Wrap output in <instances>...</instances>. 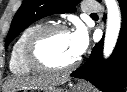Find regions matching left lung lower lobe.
<instances>
[{
    "mask_svg": "<svg viewBox=\"0 0 127 92\" xmlns=\"http://www.w3.org/2000/svg\"><path fill=\"white\" fill-rule=\"evenodd\" d=\"M122 14L120 35L108 60H103V40L82 66L70 76L85 79L104 92H122L127 81V0H119Z\"/></svg>",
    "mask_w": 127,
    "mask_h": 92,
    "instance_id": "left-lung-lower-lobe-1",
    "label": "left lung lower lobe"
}]
</instances>
